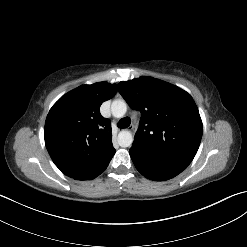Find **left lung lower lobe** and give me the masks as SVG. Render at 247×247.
<instances>
[{"instance_id":"1","label":"left lung lower lobe","mask_w":247,"mask_h":247,"mask_svg":"<svg viewBox=\"0 0 247 247\" xmlns=\"http://www.w3.org/2000/svg\"><path fill=\"white\" fill-rule=\"evenodd\" d=\"M130 156L137 170L150 180H168L184 170L163 161L147 149L139 147L136 144H133L130 148Z\"/></svg>"}]
</instances>
